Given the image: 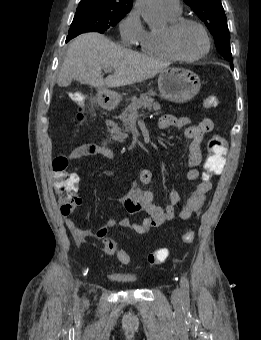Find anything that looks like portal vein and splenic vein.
<instances>
[{
    "mask_svg": "<svg viewBox=\"0 0 261 340\" xmlns=\"http://www.w3.org/2000/svg\"><path fill=\"white\" fill-rule=\"evenodd\" d=\"M106 71H107V72H111L112 70H111V69H107Z\"/></svg>",
    "mask_w": 261,
    "mask_h": 340,
    "instance_id": "1",
    "label": "portal vein and splenic vein"
}]
</instances>
